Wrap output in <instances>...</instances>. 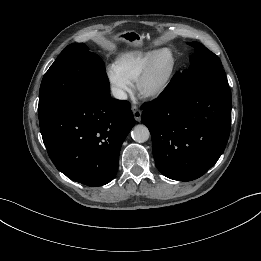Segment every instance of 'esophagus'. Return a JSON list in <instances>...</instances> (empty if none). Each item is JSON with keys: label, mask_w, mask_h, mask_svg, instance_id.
Masks as SVG:
<instances>
[{"label": "esophagus", "mask_w": 261, "mask_h": 261, "mask_svg": "<svg viewBox=\"0 0 261 261\" xmlns=\"http://www.w3.org/2000/svg\"><path fill=\"white\" fill-rule=\"evenodd\" d=\"M131 110L133 112L135 120L139 122L141 120V116H142L141 110L136 105H133L131 107Z\"/></svg>", "instance_id": "esophagus-1"}]
</instances>
